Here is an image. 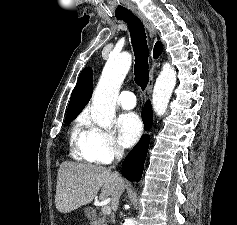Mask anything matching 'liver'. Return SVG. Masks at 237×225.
<instances>
[{"instance_id":"6515ba94","label":"liver","mask_w":237,"mask_h":225,"mask_svg":"<svg viewBox=\"0 0 237 225\" xmlns=\"http://www.w3.org/2000/svg\"><path fill=\"white\" fill-rule=\"evenodd\" d=\"M101 189L100 199L112 197L116 209L125 189V182L118 180L109 168L92 164L63 162L58 170L55 203L61 213L89 204Z\"/></svg>"}]
</instances>
